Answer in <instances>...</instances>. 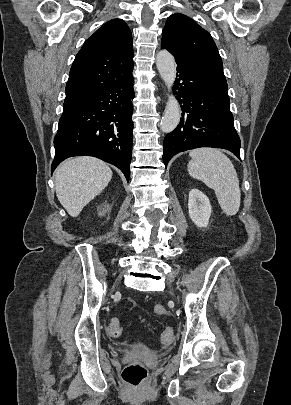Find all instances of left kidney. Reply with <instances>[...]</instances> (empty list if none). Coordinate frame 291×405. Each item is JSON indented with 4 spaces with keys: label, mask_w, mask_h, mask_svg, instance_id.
<instances>
[{
    "label": "left kidney",
    "mask_w": 291,
    "mask_h": 405,
    "mask_svg": "<svg viewBox=\"0 0 291 405\" xmlns=\"http://www.w3.org/2000/svg\"><path fill=\"white\" fill-rule=\"evenodd\" d=\"M189 216L197 227L204 228L209 223L212 208L210 201L198 189H192L189 192L188 199Z\"/></svg>",
    "instance_id": "5707ae66"
}]
</instances>
